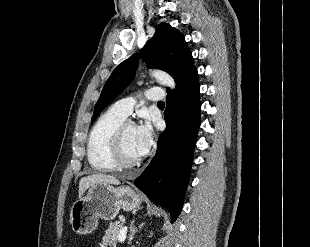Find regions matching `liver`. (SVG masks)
Here are the masks:
<instances>
[{
	"label": "liver",
	"mask_w": 310,
	"mask_h": 247,
	"mask_svg": "<svg viewBox=\"0 0 310 247\" xmlns=\"http://www.w3.org/2000/svg\"><path fill=\"white\" fill-rule=\"evenodd\" d=\"M99 183L119 185L120 181L116 177L107 174H93L85 176L81 178L79 182V197H81L91 186Z\"/></svg>",
	"instance_id": "liver-1"
}]
</instances>
